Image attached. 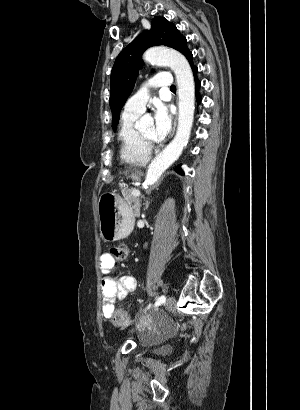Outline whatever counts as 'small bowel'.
<instances>
[{
    "mask_svg": "<svg viewBox=\"0 0 300 410\" xmlns=\"http://www.w3.org/2000/svg\"><path fill=\"white\" fill-rule=\"evenodd\" d=\"M115 263L113 256L109 253H103L99 257L102 272L100 284L103 297L102 313L105 317L110 316L116 303L136 289V280L132 275L123 273L116 278L111 275Z\"/></svg>",
    "mask_w": 300,
    "mask_h": 410,
    "instance_id": "small-bowel-1",
    "label": "small bowel"
}]
</instances>
